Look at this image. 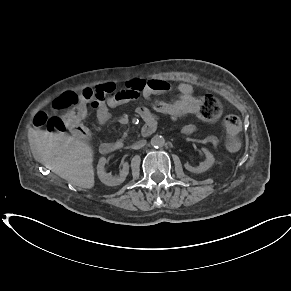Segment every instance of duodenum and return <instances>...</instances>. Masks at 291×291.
<instances>
[{"instance_id": "1", "label": "duodenum", "mask_w": 291, "mask_h": 291, "mask_svg": "<svg viewBox=\"0 0 291 291\" xmlns=\"http://www.w3.org/2000/svg\"><path fill=\"white\" fill-rule=\"evenodd\" d=\"M146 123L142 127V134L143 135H150L155 131L156 124L155 120H152L151 117L145 118ZM117 149V145L111 142L102 143L100 146V151L104 155L111 154Z\"/></svg>"}]
</instances>
